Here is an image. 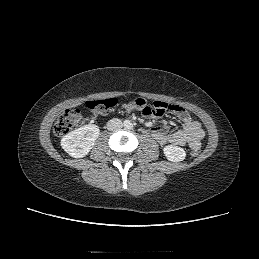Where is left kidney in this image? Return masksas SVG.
I'll list each match as a JSON object with an SVG mask.
<instances>
[{
  "mask_svg": "<svg viewBox=\"0 0 259 259\" xmlns=\"http://www.w3.org/2000/svg\"><path fill=\"white\" fill-rule=\"evenodd\" d=\"M163 151L169 161L180 162L186 157L184 149L175 145H167Z\"/></svg>",
  "mask_w": 259,
  "mask_h": 259,
  "instance_id": "5707ae66",
  "label": "left kidney"
}]
</instances>
